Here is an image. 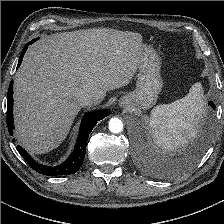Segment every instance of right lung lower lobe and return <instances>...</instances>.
Listing matches in <instances>:
<instances>
[{
  "label": "right lung lower lobe",
  "mask_w": 224,
  "mask_h": 224,
  "mask_svg": "<svg viewBox=\"0 0 224 224\" xmlns=\"http://www.w3.org/2000/svg\"><path fill=\"white\" fill-rule=\"evenodd\" d=\"M37 39H33L28 42L23 48L17 68L20 66L24 54L30 44H33ZM109 115L108 110H97L84 115L80 127V133L76 141L75 147L71 155L58 166H46L38 164L21 146H17V151L25 159L31 168L40 174L48 176L69 175L77 172L83 164L87 140L90 132L95 127L98 121L104 119ZM13 80L10 82L7 93V125L10 135H13Z\"/></svg>",
  "instance_id": "right-lung-lower-lobe-1"
}]
</instances>
